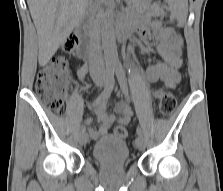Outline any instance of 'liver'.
<instances>
[{"label":"liver","instance_id":"obj_1","mask_svg":"<svg viewBox=\"0 0 223 191\" xmlns=\"http://www.w3.org/2000/svg\"><path fill=\"white\" fill-rule=\"evenodd\" d=\"M89 0H27L35 24L39 53L45 66L83 17Z\"/></svg>","mask_w":223,"mask_h":191}]
</instances>
